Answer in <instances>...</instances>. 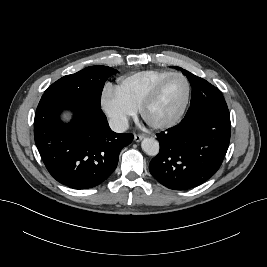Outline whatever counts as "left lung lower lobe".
I'll return each instance as SVG.
<instances>
[{"mask_svg": "<svg viewBox=\"0 0 267 267\" xmlns=\"http://www.w3.org/2000/svg\"><path fill=\"white\" fill-rule=\"evenodd\" d=\"M230 133L228 108L212 111L207 98L191 102L179 125L157 134L160 151L149 164L150 173L169 189L199 186L221 166Z\"/></svg>", "mask_w": 267, "mask_h": 267, "instance_id": "left-lung-lower-lobe-1", "label": "left lung lower lobe"}]
</instances>
